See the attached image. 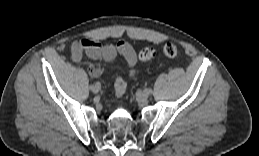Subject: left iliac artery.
<instances>
[{
  "instance_id": "44dca946",
  "label": "left iliac artery",
  "mask_w": 259,
  "mask_h": 156,
  "mask_svg": "<svg viewBox=\"0 0 259 156\" xmlns=\"http://www.w3.org/2000/svg\"><path fill=\"white\" fill-rule=\"evenodd\" d=\"M154 89L153 88H147V93H153Z\"/></svg>"
}]
</instances>
